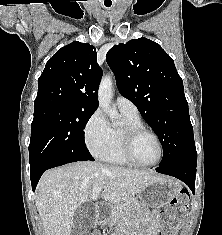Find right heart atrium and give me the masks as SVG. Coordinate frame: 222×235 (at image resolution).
Segmentation results:
<instances>
[{"label": "right heart atrium", "mask_w": 222, "mask_h": 235, "mask_svg": "<svg viewBox=\"0 0 222 235\" xmlns=\"http://www.w3.org/2000/svg\"><path fill=\"white\" fill-rule=\"evenodd\" d=\"M84 141L94 156H100L110 142V125L102 112L95 110L84 127Z\"/></svg>", "instance_id": "d8ad5b80"}]
</instances>
